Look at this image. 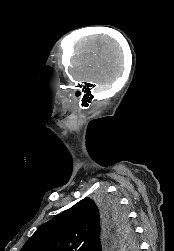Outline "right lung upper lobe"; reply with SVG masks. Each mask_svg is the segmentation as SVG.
Masks as SVG:
<instances>
[{"instance_id":"obj_1","label":"right lung upper lobe","mask_w":174,"mask_h":251,"mask_svg":"<svg viewBox=\"0 0 174 251\" xmlns=\"http://www.w3.org/2000/svg\"><path fill=\"white\" fill-rule=\"evenodd\" d=\"M104 220L98 205L86 197L41 225L21 251H102L120 246L111 240L102 247Z\"/></svg>"}]
</instances>
